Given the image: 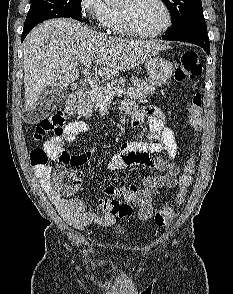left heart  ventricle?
I'll list each match as a JSON object with an SVG mask.
<instances>
[{
	"label": "left heart ventricle",
	"instance_id": "b2bd125f",
	"mask_svg": "<svg viewBox=\"0 0 233 294\" xmlns=\"http://www.w3.org/2000/svg\"><path fill=\"white\" fill-rule=\"evenodd\" d=\"M121 7L129 9L134 27L141 32H154L166 20L165 12L156 0H125Z\"/></svg>",
	"mask_w": 233,
	"mask_h": 294
}]
</instances>
